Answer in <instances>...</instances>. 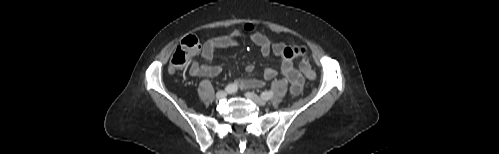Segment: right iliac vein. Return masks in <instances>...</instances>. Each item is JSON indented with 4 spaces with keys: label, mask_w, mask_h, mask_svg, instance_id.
Instances as JSON below:
<instances>
[{
    "label": "right iliac vein",
    "mask_w": 499,
    "mask_h": 154,
    "mask_svg": "<svg viewBox=\"0 0 499 154\" xmlns=\"http://www.w3.org/2000/svg\"><path fill=\"white\" fill-rule=\"evenodd\" d=\"M226 97H227V92H225V91H219V92H217V94H216V98H217L218 100L224 99V98H226Z\"/></svg>",
    "instance_id": "1"
}]
</instances>
